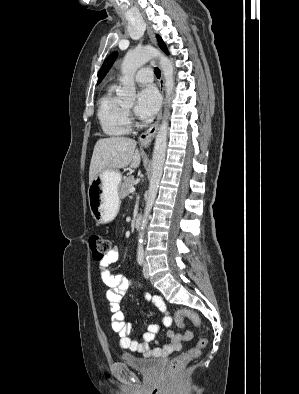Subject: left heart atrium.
Here are the masks:
<instances>
[{
	"label": "left heart atrium",
	"mask_w": 299,
	"mask_h": 394,
	"mask_svg": "<svg viewBox=\"0 0 299 394\" xmlns=\"http://www.w3.org/2000/svg\"><path fill=\"white\" fill-rule=\"evenodd\" d=\"M159 106L160 96L157 90L148 86L138 93L135 112L139 117L149 119L157 113Z\"/></svg>",
	"instance_id": "obj_1"
}]
</instances>
